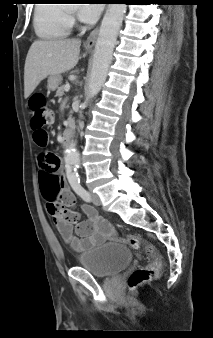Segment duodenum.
Listing matches in <instances>:
<instances>
[{"instance_id": "duodenum-1", "label": "duodenum", "mask_w": 213, "mask_h": 338, "mask_svg": "<svg viewBox=\"0 0 213 338\" xmlns=\"http://www.w3.org/2000/svg\"><path fill=\"white\" fill-rule=\"evenodd\" d=\"M73 130L74 124L72 122H69L64 130L63 140L65 143H68L70 141Z\"/></svg>"}]
</instances>
